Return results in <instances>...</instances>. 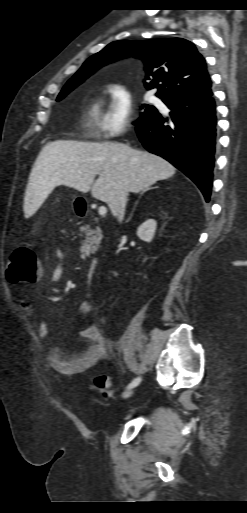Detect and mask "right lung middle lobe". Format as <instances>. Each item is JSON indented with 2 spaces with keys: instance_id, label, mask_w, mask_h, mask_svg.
Returning <instances> with one entry per match:
<instances>
[{
  "instance_id": "obj_1",
  "label": "right lung middle lobe",
  "mask_w": 247,
  "mask_h": 513,
  "mask_svg": "<svg viewBox=\"0 0 247 513\" xmlns=\"http://www.w3.org/2000/svg\"><path fill=\"white\" fill-rule=\"evenodd\" d=\"M82 81L81 80H78L76 78H72L70 79L66 85L63 87L62 91L60 92L57 100H61L64 96H66L71 90H73L77 85H79ZM144 108H145V111L143 113H141V117L139 120H137L136 122H134V124H138L139 122L143 121L144 119L154 115L157 110L155 107L153 106H149V105H142ZM143 107H141V109H143Z\"/></svg>"
}]
</instances>
